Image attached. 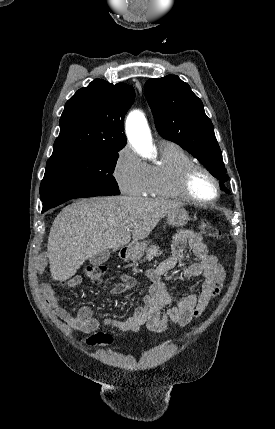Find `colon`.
Returning <instances> with one entry per match:
<instances>
[{
	"mask_svg": "<svg viewBox=\"0 0 275 429\" xmlns=\"http://www.w3.org/2000/svg\"><path fill=\"white\" fill-rule=\"evenodd\" d=\"M201 233L211 239H218L221 232L213 223L203 220L200 222ZM107 272L105 265H87L84 268V276L92 282H100ZM87 344L90 346L106 345L111 342V337L104 333H97L87 339Z\"/></svg>",
	"mask_w": 275,
	"mask_h": 429,
	"instance_id": "1",
	"label": "colon"
}]
</instances>
